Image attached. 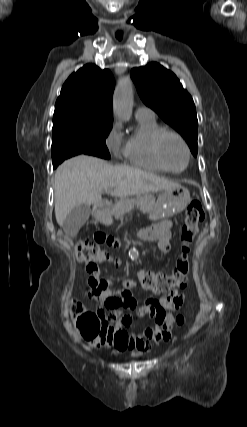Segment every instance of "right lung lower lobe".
I'll list each match as a JSON object with an SVG mask.
<instances>
[{
    "label": "right lung lower lobe",
    "instance_id": "1",
    "mask_svg": "<svg viewBox=\"0 0 247 427\" xmlns=\"http://www.w3.org/2000/svg\"><path fill=\"white\" fill-rule=\"evenodd\" d=\"M69 157H61L59 159L53 160V168H56L61 162Z\"/></svg>",
    "mask_w": 247,
    "mask_h": 427
}]
</instances>
